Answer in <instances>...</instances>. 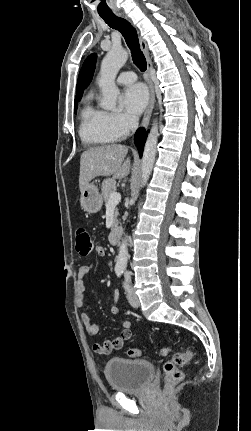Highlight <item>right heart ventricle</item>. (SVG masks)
<instances>
[{"instance_id":"1","label":"right heart ventricle","mask_w":251,"mask_h":431,"mask_svg":"<svg viewBox=\"0 0 251 431\" xmlns=\"http://www.w3.org/2000/svg\"><path fill=\"white\" fill-rule=\"evenodd\" d=\"M80 118L79 134L85 143L105 145L117 140L109 129L108 113L96 107L90 98L85 101Z\"/></svg>"}]
</instances>
